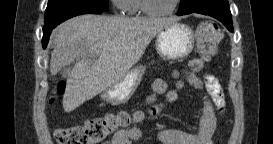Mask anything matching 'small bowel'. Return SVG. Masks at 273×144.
<instances>
[{"label": "small bowel", "mask_w": 273, "mask_h": 144, "mask_svg": "<svg viewBox=\"0 0 273 144\" xmlns=\"http://www.w3.org/2000/svg\"><path fill=\"white\" fill-rule=\"evenodd\" d=\"M178 77V72H173L168 78L157 79L153 84V93L146 99V104H151L156 97L163 94L168 81ZM189 82L200 91L204 101L200 126L196 132H186L170 128L158 133V139L163 144H210L211 137L216 129L218 117L225 109L224 93L217 79L210 74L203 78L190 76ZM143 136L140 128H131L118 131L108 142L110 144H132Z\"/></svg>", "instance_id": "1"}]
</instances>
